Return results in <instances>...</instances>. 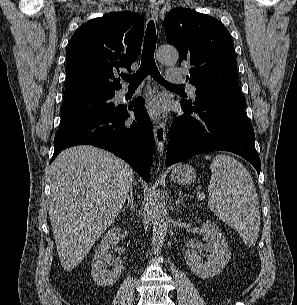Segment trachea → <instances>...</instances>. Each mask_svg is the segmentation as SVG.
I'll return each instance as SVG.
<instances>
[{
    "label": "trachea",
    "instance_id": "trachea-1",
    "mask_svg": "<svg viewBox=\"0 0 297 305\" xmlns=\"http://www.w3.org/2000/svg\"><path fill=\"white\" fill-rule=\"evenodd\" d=\"M156 30L153 21L148 23L144 38L141 65L139 70L133 75H122V79L129 83V86H138L148 75L164 87H182L167 82L159 73L154 59L156 48Z\"/></svg>",
    "mask_w": 297,
    "mask_h": 305
}]
</instances>
